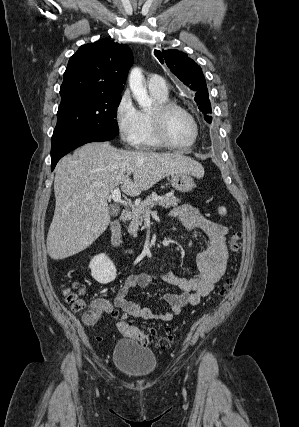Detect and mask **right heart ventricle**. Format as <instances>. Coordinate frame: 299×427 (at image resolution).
Masks as SVG:
<instances>
[{"mask_svg": "<svg viewBox=\"0 0 299 427\" xmlns=\"http://www.w3.org/2000/svg\"><path fill=\"white\" fill-rule=\"evenodd\" d=\"M153 99L155 100V103H163L168 101V93L167 94H159L153 91H150ZM141 115V134L139 138V142L137 146L142 149H158L162 145L158 142L156 137L154 136L151 119H150V112L149 111H140Z\"/></svg>", "mask_w": 299, "mask_h": 427, "instance_id": "right-heart-ventricle-1", "label": "right heart ventricle"}]
</instances>
